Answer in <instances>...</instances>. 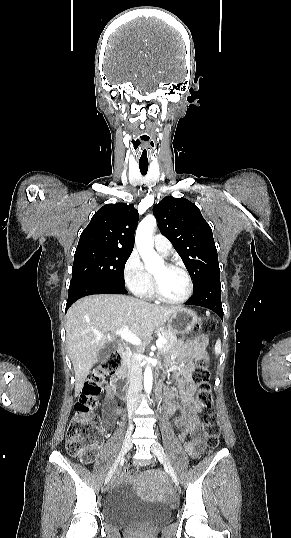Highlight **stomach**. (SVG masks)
Instances as JSON below:
<instances>
[{
  "mask_svg": "<svg viewBox=\"0 0 291 538\" xmlns=\"http://www.w3.org/2000/svg\"><path fill=\"white\" fill-rule=\"evenodd\" d=\"M197 319V315L192 310L180 308L168 319V329L175 334L188 333L196 324Z\"/></svg>",
  "mask_w": 291,
  "mask_h": 538,
  "instance_id": "1",
  "label": "stomach"
}]
</instances>
